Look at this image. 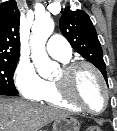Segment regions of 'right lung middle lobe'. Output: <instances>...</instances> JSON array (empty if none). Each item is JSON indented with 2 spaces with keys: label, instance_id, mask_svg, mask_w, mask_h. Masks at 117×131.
Returning a JSON list of instances; mask_svg holds the SVG:
<instances>
[{
  "label": "right lung middle lobe",
  "instance_id": "obj_1",
  "mask_svg": "<svg viewBox=\"0 0 117 131\" xmlns=\"http://www.w3.org/2000/svg\"><path fill=\"white\" fill-rule=\"evenodd\" d=\"M19 58H0V95L17 96L13 75Z\"/></svg>",
  "mask_w": 117,
  "mask_h": 131
}]
</instances>
